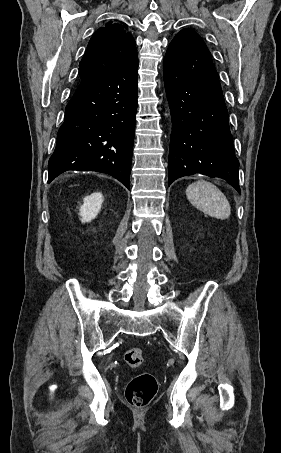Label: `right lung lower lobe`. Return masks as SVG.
Instances as JSON below:
<instances>
[{
	"label": "right lung lower lobe",
	"mask_w": 281,
	"mask_h": 453,
	"mask_svg": "<svg viewBox=\"0 0 281 453\" xmlns=\"http://www.w3.org/2000/svg\"><path fill=\"white\" fill-rule=\"evenodd\" d=\"M137 76L136 53L114 72L80 82L49 159L48 183L67 170L96 171L130 189Z\"/></svg>",
	"instance_id": "obj_1"
}]
</instances>
